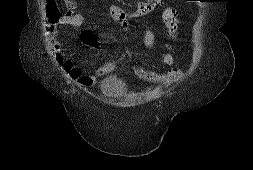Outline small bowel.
I'll return each instance as SVG.
<instances>
[{"label":"small bowel","mask_w":253,"mask_h":170,"mask_svg":"<svg viewBox=\"0 0 253 170\" xmlns=\"http://www.w3.org/2000/svg\"><path fill=\"white\" fill-rule=\"evenodd\" d=\"M48 8V4H46ZM161 11L162 18L165 25L169 30L174 33L178 27L172 23V17L176 14L175 9L165 5V0H144L136 6L131 12H126L119 6L113 5L110 7V16L113 21L119 23L123 29L130 27L131 17H141L148 15L154 11ZM176 21H178L176 17ZM84 24V17L80 14L64 15L58 22L53 24L50 28L49 37L52 41V46L56 52V57L61 69L80 86L90 87L93 86L99 77L106 75L114 70L115 63L107 62L96 69L93 74H85L84 70L76 66L65 54L61 51V47L58 41L59 27L62 25H69L73 28H81ZM80 40L88 46L94 47L97 43L96 38L90 31H81ZM156 40L153 30H148L142 39V43L145 47H151ZM167 49L171 48V45L167 43L165 45ZM162 62L167 66H172L170 71L166 73H158L155 71H148L141 67H135L134 72L136 76L144 81L169 85L173 82L180 80L183 77V72L180 68L174 66V58L171 53L164 52L162 55Z\"/></svg>","instance_id":"c3829d8e"}]
</instances>
